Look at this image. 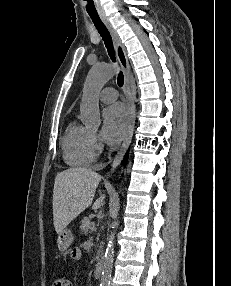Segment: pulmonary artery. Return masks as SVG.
Returning a JSON list of instances; mask_svg holds the SVG:
<instances>
[{
  "label": "pulmonary artery",
  "mask_w": 231,
  "mask_h": 286,
  "mask_svg": "<svg viewBox=\"0 0 231 286\" xmlns=\"http://www.w3.org/2000/svg\"><path fill=\"white\" fill-rule=\"evenodd\" d=\"M99 98L104 103H111L118 98V92L115 88L106 87L100 92Z\"/></svg>",
  "instance_id": "e3ab8cb5"
}]
</instances>
